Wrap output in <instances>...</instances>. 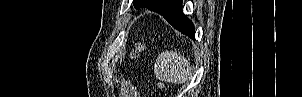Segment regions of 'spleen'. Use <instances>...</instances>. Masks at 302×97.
Wrapping results in <instances>:
<instances>
[{
    "mask_svg": "<svg viewBox=\"0 0 302 97\" xmlns=\"http://www.w3.org/2000/svg\"><path fill=\"white\" fill-rule=\"evenodd\" d=\"M156 78L166 82L184 83L191 71L190 62L176 51L162 53L154 67Z\"/></svg>",
    "mask_w": 302,
    "mask_h": 97,
    "instance_id": "1",
    "label": "spleen"
}]
</instances>
